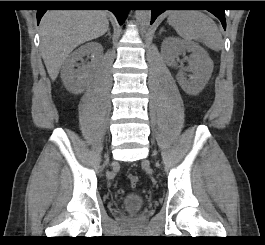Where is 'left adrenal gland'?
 <instances>
[{
	"instance_id": "a2214340",
	"label": "left adrenal gland",
	"mask_w": 265,
	"mask_h": 245,
	"mask_svg": "<svg viewBox=\"0 0 265 245\" xmlns=\"http://www.w3.org/2000/svg\"><path fill=\"white\" fill-rule=\"evenodd\" d=\"M162 32H164V28H161V29H160L159 34H161Z\"/></svg>"
}]
</instances>
